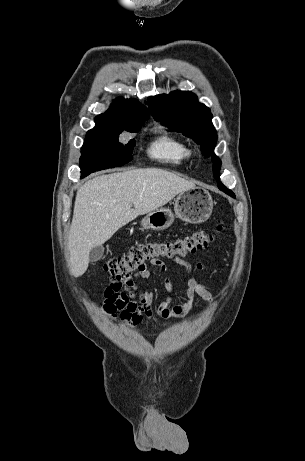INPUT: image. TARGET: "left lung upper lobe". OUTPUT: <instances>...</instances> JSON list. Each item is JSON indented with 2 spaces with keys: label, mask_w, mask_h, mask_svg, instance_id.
Returning <instances> with one entry per match:
<instances>
[{
  "label": "left lung upper lobe",
  "mask_w": 305,
  "mask_h": 461,
  "mask_svg": "<svg viewBox=\"0 0 305 461\" xmlns=\"http://www.w3.org/2000/svg\"><path fill=\"white\" fill-rule=\"evenodd\" d=\"M148 107L154 119L170 129L182 131L201 145L205 157L211 156L213 161V175L219 180L221 161L214 154L217 133L212 124L210 109L198 102L195 94L189 91H173L148 98ZM218 187L228 195L235 194L221 182Z\"/></svg>",
  "instance_id": "5c2ea615"
}]
</instances>
